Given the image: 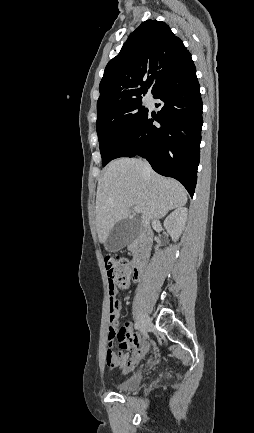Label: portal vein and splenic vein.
I'll return each mask as SVG.
<instances>
[{
    "instance_id": "1",
    "label": "portal vein and splenic vein",
    "mask_w": 254,
    "mask_h": 433,
    "mask_svg": "<svg viewBox=\"0 0 254 433\" xmlns=\"http://www.w3.org/2000/svg\"><path fill=\"white\" fill-rule=\"evenodd\" d=\"M134 211L137 212V213H140V212H141L140 208L137 207V206L134 207Z\"/></svg>"
}]
</instances>
